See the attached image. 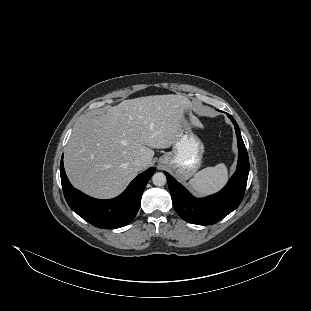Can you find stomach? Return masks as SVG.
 <instances>
[{
    "label": "stomach",
    "mask_w": 311,
    "mask_h": 311,
    "mask_svg": "<svg viewBox=\"0 0 311 311\" xmlns=\"http://www.w3.org/2000/svg\"><path fill=\"white\" fill-rule=\"evenodd\" d=\"M182 132L172 152L159 157L157 164L168 165L181 179L186 180L200 168L204 147L186 122H183Z\"/></svg>",
    "instance_id": "1"
}]
</instances>
